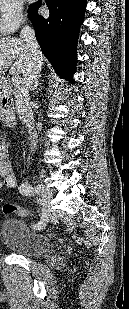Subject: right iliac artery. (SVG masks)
<instances>
[{"label": "right iliac artery", "instance_id": "82829eb1", "mask_svg": "<svg viewBox=\"0 0 129 309\" xmlns=\"http://www.w3.org/2000/svg\"><path fill=\"white\" fill-rule=\"evenodd\" d=\"M20 193L25 196H35V190L30 184H23L20 186ZM39 203V200H37ZM46 214L44 209H42L41 221L37 224V228H40L42 223L45 221Z\"/></svg>", "mask_w": 129, "mask_h": 309}]
</instances>
